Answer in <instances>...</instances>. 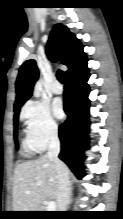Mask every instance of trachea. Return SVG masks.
Instances as JSON below:
<instances>
[{"instance_id": "obj_1", "label": "trachea", "mask_w": 123, "mask_h": 219, "mask_svg": "<svg viewBox=\"0 0 123 219\" xmlns=\"http://www.w3.org/2000/svg\"><path fill=\"white\" fill-rule=\"evenodd\" d=\"M57 79L62 83L64 84L65 83V74L63 71L59 70L57 72Z\"/></svg>"}]
</instances>
